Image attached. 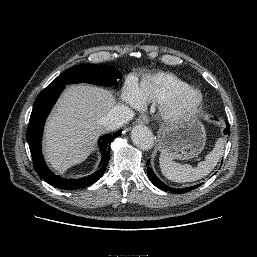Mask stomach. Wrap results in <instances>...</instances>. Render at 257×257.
Wrapping results in <instances>:
<instances>
[{"label":"stomach","instance_id":"0dacf381","mask_svg":"<svg viewBox=\"0 0 257 257\" xmlns=\"http://www.w3.org/2000/svg\"><path fill=\"white\" fill-rule=\"evenodd\" d=\"M206 131L197 118H189L165 127L159 139V147L177 160H189L204 149Z\"/></svg>","mask_w":257,"mask_h":257}]
</instances>
